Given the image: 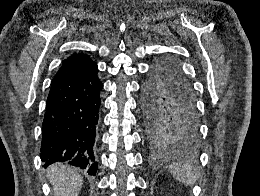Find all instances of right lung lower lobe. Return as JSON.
<instances>
[{
    "instance_id": "right-lung-lower-lobe-1",
    "label": "right lung lower lobe",
    "mask_w": 260,
    "mask_h": 196,
    "mask_svg": "<svg viewBox=\"0 0 260 196\" xmlns=\"http://www.w3.org/2000/svg\"><path fill=\"white\" fill-rule=\"evenodd\" d=\"M97 73L98 69L51 84L42 124L40 157L44 167L67 161L96 175V133L103 88Z\"/></svg>"
}]
</instances>
